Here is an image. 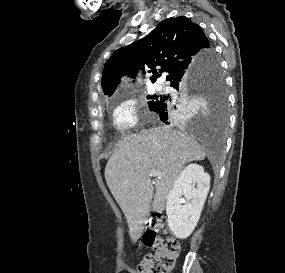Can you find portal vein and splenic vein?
<instances>
[{"instance_id": "portal-vein-and-splenic-vein-1", "label": "portal vein and splenic vein", "mask_w": 285, "mask_h": 273, "mask_svg": "<svg viewBox=\"0 0 285 273\" xmlns=\"http://www.w3.org/2000/svg\"><path fill=\"white\" fill-rule=\"evenodd\" d=\"M161 175H162L161 172H159L157 170H152L150 172V176H152V177H160Z\"/></svg>"}]
</instances>
